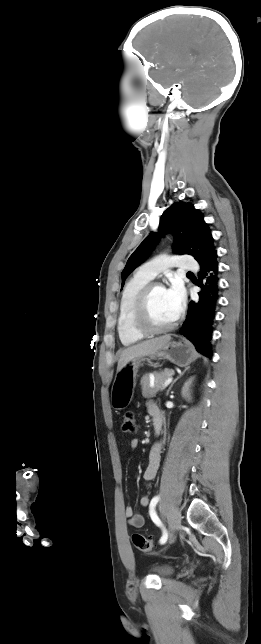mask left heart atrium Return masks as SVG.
<instances>
[{
  "instance_id": "39dd6f15",
  "label": "left heart atrium",
  "mask_w": 261,
  "mask_h": 644,
  "mask_svg": "<svg viewBox=\"0 0 261 644\" xmlns=\"http://www.w3.org/2000/svg\"><path fill=\"white\" fill-rule=\"evenodd\" d=\"M166 293L177 317L181 314L185 306L183 288L179 284L175 283L170 288L166 289Z\"/></svg>"
}]
</instances>
